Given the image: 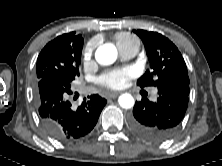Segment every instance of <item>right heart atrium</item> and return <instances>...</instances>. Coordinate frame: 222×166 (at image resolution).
Listing matches in <instances>:
<instances>
[{"label": "right heart atrium", "instance_id": "right-heart-atrium-1", "mask_svg": "<svg viewBox=\"0 0 222 166\" xmlns=\"http://www.w3.org/2000/svg\"><path fill=\"white\" fill-rule=\"evenodd\" d=\"M93 50H94V47L92 45H87L84 48L83 54H82V58H83L84 62L90 60V58L92 57V54H93Z\"/></svg>", "mask_w": 222, "mask_h": 166}]
</instances>
